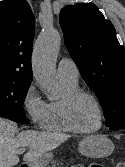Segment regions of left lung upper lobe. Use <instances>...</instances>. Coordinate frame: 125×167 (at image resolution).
I'll return each instance as SVG.
<instances>
[{
  "instance_id": "1",
  "label": "left lung upper lobe",
  "mask_w": 125,
  "mask_h": 167,
  "mask_svg": "<svg viewBox=\"0 0 125 167\" xmlns=\"http://www.w3.org/2000/svg\"><path fill=\"white\" fill-rule=\"evenodd\" d=\"M60 25L82 78L103 105L106 126L124 130L125 48L119 44L114 26L91 3L64 7Z\"/></svg>"
}]
</instances>
